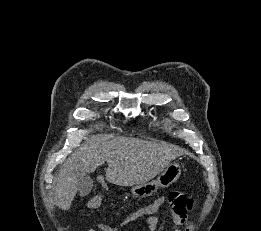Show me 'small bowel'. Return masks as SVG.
<instances>
[{
	"label": "small bowel",
	"mask_w": 261,
	"mask_h": 231,
	"mask_svg": "<svg viewBox=\"0 0 261 231\" xmlns=\"http://www.w3.org/2000/svg\"><path fill=\"white\" fill-rule=\"evenodd\" d=\"M100 206V198L98 197H90L86 202V209L88 211H94L97 210ZM145 207L142 206L139 208L138 211H136L132 216L125 219L120 226H123L126 224L131 218L137 217V216H146V225L149 231H157L159 227V219L154 214V211L145 213ZM173 221L176 225H185L184 231H194L195 226L192 221H183L179 217L172 215ZM97 229L100 231H118L119 226H111L106 224H97ZM97 229L90 228L87 231H97ZM180 231V230H178Z\"/></svg>",
	"instance_id": "obj_1"
}]
</instances>
